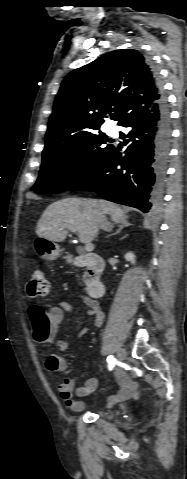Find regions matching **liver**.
Wrapping results in <instances>:
<instances>
[{"instance_id": "6515ba94", "label": "liver", "mask_w": 187, "mask_h": 479, "mask_svg": "<svg viewBox=\"0 0 187 479\" xmlns=\"http://www.w3.org/2000/svg\"><path fill=\"white\" fill-rule=\"evenodd\" d=\"M95 207L104 215H109L117 224L127 222L128 216L117 204L106 200H86L65 198L49 205L37 223L36 234L53 242L66 239L68 227L77 232L79 240L90 243L98 234L95 220ZM109 226L106 230H111Z\"/></svg>"}]
</instances>
